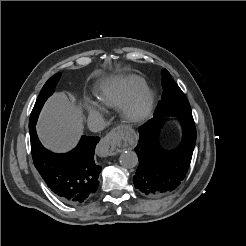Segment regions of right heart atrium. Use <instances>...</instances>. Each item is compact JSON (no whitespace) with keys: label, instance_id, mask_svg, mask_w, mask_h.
<instances>
[{"label":"right heart atrium","instance_id":"d8ad5b80","mask_svg":"<svg viewBox=\"0 0 246 246\" xmlns=\"http://www.w3.org/2000/svg\"><path fill=\"white\" fill-rule=\"evenodd\" d=\"M83 108L89 119H99L104 115V109L96 101L90 99L85 100Z\"/></svg>","mask_w":246,"mask_h":246}]
</instances>
